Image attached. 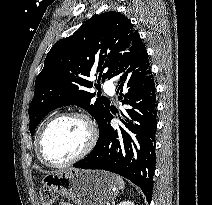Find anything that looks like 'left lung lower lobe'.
<instances>
[{
    "mask_svg": "<svg viewBox=\"0 0 212 205\" xmlns=\"http://www.w3.org/2000/svg\"><path fill=\"white\" fill-rule=\"evenodd\" d=\"M111 78L117 79L119 99L127 105L119 113L122 125L119 129L110 125L113 111L109 108L99 125L96 146L74 167L119 174L139 186L150 203L156 160L157 105L148 54L139 35L133 39Z\"/></svg>",
    "mask_w": 212,
    "mask_h": 205,
    "instance_id": "1",
    "label": "left lung lower lobe"
}]
</instances>
